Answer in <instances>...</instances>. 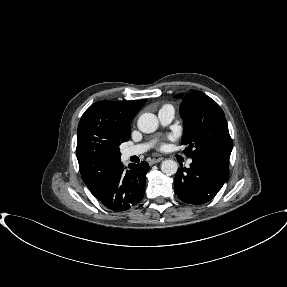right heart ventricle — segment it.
I'll list each match as a JSON object with an SVG mask.
<instances>
[{"mask_svg":"<svg viewBox=\"0 0 287 287\" xmlns=\"http://www.w3.org/2000/svg\"><path fill=\"white\" fill-rule=\"evenodd\" d=\"M165 107H171V108H172V106L169 105V104H165V105L162 106V108H165ZM162 108H161V109H162Z\"/></svg>","mask_w":287,"mask_h":287,"instance_id":"obj_1","label":"right heart ventricle"}]
</instances>
